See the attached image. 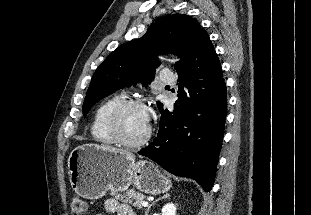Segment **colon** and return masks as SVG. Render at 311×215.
I'll list each match as a JSON object with an SVG mask.
<instances>
[{"instance_id": "5ec220e1", "label": "colon", "mask_w": 311, "mask_h": 215, "mask_svg": "<svg viewBox=\"0 0 311 215\" xmlns=\"http://www.w3.org/2000/svg\"><path fill=\"white\" fill-rule=\"evenodd\" d=\"M87 203L80 197H74L71 202V212L73 215H86Z\"/></svg>"}]
</instances>
